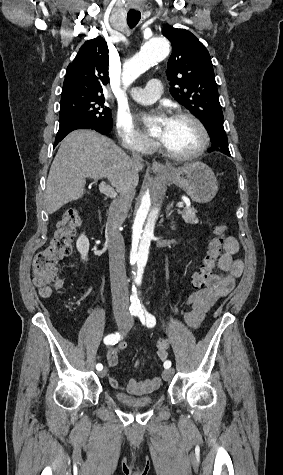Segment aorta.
Returning <instances> with one entry per match:
<instances>
[{
    "label": "aorta",
    "instance_id": "obj_1",
    "mask_svg": "<svg viewBox=\"0 0 283 475\" xmlns=\"http://www.w3.org/2000/svg\"><path fill=\"white\" fill-rule=\"evenodd\" d=\"M169 53L170 43L166 38L155 37L150 39L137 54L124 64L123 85L125 87L130 86L151 66L164 60ZM167 190V179L163 176H155L144 186L134 212L130 228V264L135 276L130 297L132 308H141L136 285L140 286L142 283L151 242L154 239L156 227L166 205Z\"/></svg>",
    "mask_w": 283,
    "mask_h": 475
}]
</instances>
